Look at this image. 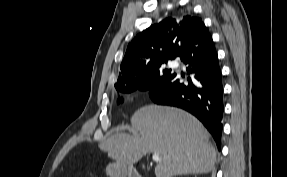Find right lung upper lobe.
I'll return each mask as SVG.
<instances>
[{
	"label": "right lung upper lobe",
	"instance_id": "obj_1",
	"mask_svg": "<svg viewBox=\"0 0 287 177\" xmlns=\"http://www.w3.org/2000/svg\"><path fill=\"white\" fill-rule=\"evenodd\" d=\"M205 29L200 18L190 15L151 25L129 43L115 87L137 83L156 65L179 57L184 46Z\"/></svg>",
	"mask_w": 287,
	"mask_h": 177
}]
</instances>
